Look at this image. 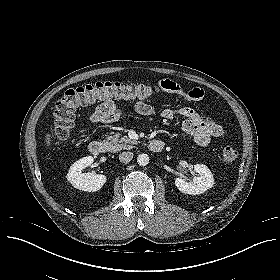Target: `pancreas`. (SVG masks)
Instances as JSON below:
<instances>
[{
	"mask_svg": "<svg viewBox=\"0 0 280 280\" xmlns=\"http://www.w3.org/2000/svg\"><path fill=\"white\" fill-rule=\"evenodd\" d=\"M136 140H131L127 136L120 137L119 134L113 136H106V144L111 152H117L122 149L128 150L133 148L134 144H137Z\"/></svg>",
	"mask_w": 280,
	"mask_h": 280,
	"instance_id": "1",
	"label": "pancreas"
}]
</instances>
